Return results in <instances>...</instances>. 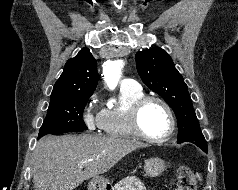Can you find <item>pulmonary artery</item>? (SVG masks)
Listing matches in <instances>:
<instances>
[{"label": "pulmonary artery", "instance_id": "obj_1", "mask_svg": "<svg viewBox=\"0 0 238 190\" xmlns=\"http://www.w3.org/2000/svg\"><path fill=\"white\" fill-rule=\"evenodd\" d=\"M121 89L123 90H138L141 89L139 83L131 78H125L121 81Z\"/></svg>", "mask_w": 238, "mask_h": 190}]
</instances>
